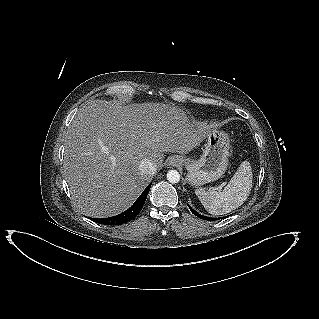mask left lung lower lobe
Here are the masks:
<instances>
[{
    "label": "left lung lower lobe",
    "instance_id": "1",
    "mask_svg": "<svg viewBox=\"0 0 319 319\" xmlns=\"http://www.w3.org/2000/svg\"><path fill=\"white\" fill-rule=\"evenodd\" d=\"M190 210L192 211V213L194 215H196L197 217L201 218V219H205V220H214V218H207L203 215L198 214V212H196L195 210H193L190 206H189Z\"/></svg>",
    "mask_w": 319,
    "mask_h": 319
}]
</instances>
